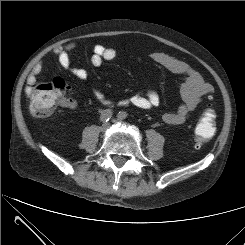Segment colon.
<instances>
[{
	"mask_svg": "<svg viewBox=\"0 0 245 245\" xmlns=\"http://www.w3.org/2000/svg\"><path fill=\"white\" fill-rule=\"evenodd\" d=\"M66 83L63 79L55 78L46 82L29 83L26 93L29 107L33 115L46 117L56 106H70L71 100L65 95ZM217 115L209 106L195 127V142L197 147L208 142L216 129Z\"/></svg>",
	"mask_w": 245,
	"mask_h": 245,
	"instance_id": "5ec220e1",
	"label": "colon"
}]
</instances>
